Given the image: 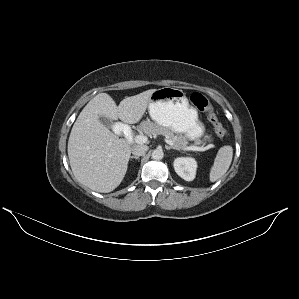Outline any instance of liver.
I'll return each instance as SVG.
<instances>
[{
    "instance_id": "liver-1",
    "label": "liver",
    "mask_w": 299,
    "mask_h": 299,
    "mask_svg": "<svg viewBox=\"0 0 299 299\" xmlns=\"http://www.w3.org/2000/svg\"><path fill=\"white\" fill-rule=\"evenodd\" d=\"M155 89L124 98L117 106L107 93H99L83 108L68 140V157L76 179L90 189L108 193L122 182L131 155L129 143L119 139L100 116L124 123L139 122Z\"/></svg>"
}]
</instances>
